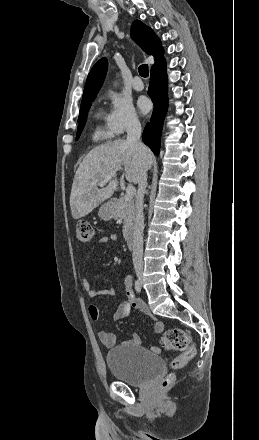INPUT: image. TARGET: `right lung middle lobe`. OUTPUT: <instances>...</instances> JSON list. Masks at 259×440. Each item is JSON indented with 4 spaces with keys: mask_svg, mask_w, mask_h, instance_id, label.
Here are the masks:
<instances>
[{
    "mask_svg": "<svg viewBox=\"0 0 259 440\" xmlns=\"http://www.w3.org/2000/svg\"><path fill=\"white\" fill-rule=\"evenodd\" d=\"M93 100L94 99H89V100H85V101L81 102L76 139L79 138V136L82 132V129L84 128L86 118H87V113H88V110H89Z\"/></svg>",
    "mask_w": 259,
    "mask_h": 440,
    "instance_id": "dd1d6c3e",
    "label": "right lung middle lobe"
}]
</instances>
